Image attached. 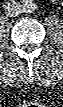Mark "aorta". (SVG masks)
<instances>
[{
  "label": "aorta",
  "mask_w": 63,
  "mask_h": 107,
  "mask_svg": "<svg viewBox=\"0 0 63 107\" xmlns=\"http://www.w3.org/2000/svg\"><path fill=\"white\" fill-rule=\"evenodd\" d=\"M37 9V5L34 0H25L22 4V10L26 13H33Z\"/></svg>",
  "instance_id": "obj_1"
}]
</instances>
